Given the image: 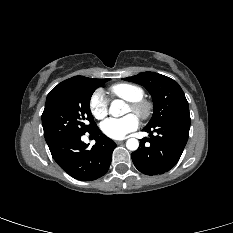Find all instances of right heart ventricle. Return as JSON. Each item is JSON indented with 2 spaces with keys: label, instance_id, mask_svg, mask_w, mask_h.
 Returning a JSON list of instances; mask_svg holds the SVG:
<instances>
[{
  "label": "right heart ventricle",
  "instance_id": "obj_1",
  "mask_svg": "<svg viewBox=\"0 0 233 233\" xmlns=\"http://www.w3.org/2000/svg\"><path fill=\"white\" fill-rule=\"evenodd\" d=\"M109 92L113 97L126 102L134 101L144 96V91L140 86L126 82L113 84L109 87Z\"/></svg>",
  "mask_w": 233,
  "mask_h": 233
}]
</instances>
